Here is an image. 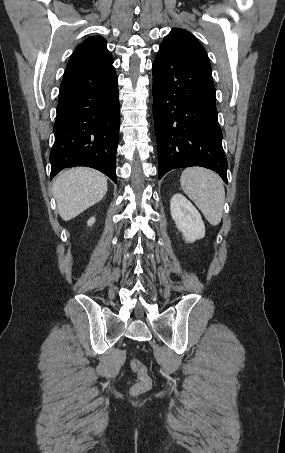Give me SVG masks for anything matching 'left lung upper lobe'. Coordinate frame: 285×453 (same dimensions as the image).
I'll return each instance as SVG.
<instances>
[{
	"label": "left lung upper lobe",
	"instance_id": "left-lung-upper-lobe-1",
	"mask_svg": "<svg viewBox=\"0 0 285 453\" xmlns=\"http://www.w3.org/2000/svg\"><path fill=\"white\" fill-rule=\"evenodd\" d=\"M160 49L179 54L211 71L206 50L190 32L183 29H172L164 38Z\"/></svg>",
	"mask_w": 285,
	"mask_h": 453
}]
</instances>
